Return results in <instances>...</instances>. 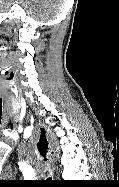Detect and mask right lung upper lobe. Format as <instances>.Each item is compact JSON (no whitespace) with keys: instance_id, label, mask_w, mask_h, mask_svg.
<instances>
[{"instance_id":"right-lung-upper-lobe-1","label":"right lung upper lobe","mask_w":119,"mask_h":187,"mask_svg":"<svg viewBox=\"0 0 119 187\" xmlns=\"http://www.w3.org/2000/svg\"><path fill=\"white\" fill-rule=\"evenodd\" d=\"M37 146L40 151V154L45 157L47 150H48V141L45 137V133H44L43 129H42V135L40 137V140H39Z\"/></svg>"}]
</instances>
